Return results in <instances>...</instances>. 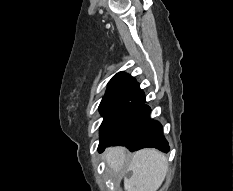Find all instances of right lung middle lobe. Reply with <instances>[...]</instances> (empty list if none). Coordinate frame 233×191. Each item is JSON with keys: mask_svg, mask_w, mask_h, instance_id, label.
<instances>
[{"mask_svg": "<svg viewBox=\"0 0 233 191\" xmlns=\"http://www.w3.org/2000/svg\"><path fill=\"white\" fill-rule=\"evenodd\" d=\"M127 104L126 96L101 101L99 111L104 119L100 126V138L117 121Z\"/></svg>", "mask_w": 233, "mask_h": 191, "instance_id": "dd1d6c3e", "label": "right lung middle lobe"}]
</instances>
